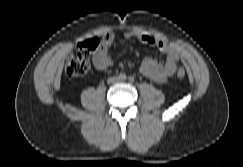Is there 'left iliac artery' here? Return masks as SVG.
I'll return each mask as SVG.
<instances>
[{
	"label": "left iliac artery",
	"mask_w": 243,
	"mask_h": 167,
	"mask_svg": "<svg viewBox=\"0 0 243 167\" xmlns=\"http://www.w3.org/2000/svg\"><path fill=\"white\" fill-rule=\"evenodd\" d=\"M129 80L132 82V81H134V78L133 77H129Z\"/></svg>",
	"instance_id": "left-iliac-artery-1"
}]
</instances>
